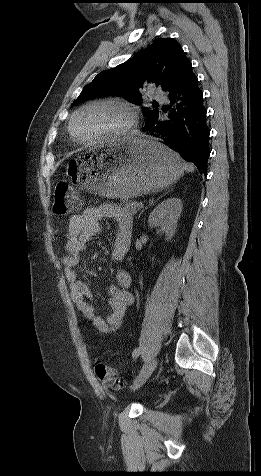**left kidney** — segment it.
<instances>
[{
  "mask_svg": "<svg viewBox=\"0 0 261 476\" xmlns=\"http://www.w3.org/2000/svg\"><path fill=\"white\" fill-rule=\"evenodd\" d=\"M182 208L183 204L179 198L171 197L162 201L150 213L148 218L149 226L161 227L165 232L166 240H171L176 232Z\"/></svg>",
  "mask_w": 261,
  "mask_h": 476,
  "instance_id": "1",
  "label": "left kidney"
}]
</instances>
